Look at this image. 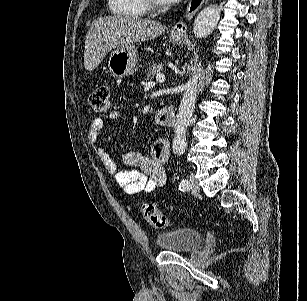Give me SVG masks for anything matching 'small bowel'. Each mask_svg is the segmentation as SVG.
I'll return each mask as SVG.
<instances>
[{
    "label": "small bowel",
    "mask_w": 307,
    "mask_h": 301,
    "mask_svg": "<svg viewBox=\"0 0 307 301\" xmlns=\"http://www.w3.org/2000/svg\"><path fill=\"white\" fill-rule=\"evenodd\" d=\"M120 116L119 109H113L108 115L110 119H117ZM103 127V119H93L89 129V139L92 142L98 141ZM97 155L115 183L127 194L152 192L161 188L166 182L165 165L169 158V143L165 139L154 143L151 157H146L139 152L126 153L124 162L133 168L131 170H119L104 148H98Z\"/></svg>",
    "instance_id": "small-bowel-1"
}]
</instances>
